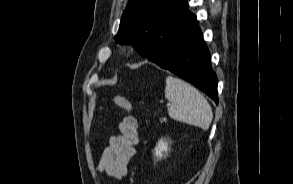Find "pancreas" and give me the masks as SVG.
Here are the masks:
<instances>
[{"instance_id":"1","label":"pancreas","mask_w":293,"mask_h":184,"mask_svg":"<svg viewBox=\"0 0 293 184\" xmlns=\"http://www.w3.org/2000/svg\"><path fill=\"white\" fill-rule=\"evenodd\" d=\"M165 120H166L165 118H161V119H160L161 122H163V121H165Z\"/></svg>"}]
</instances>
